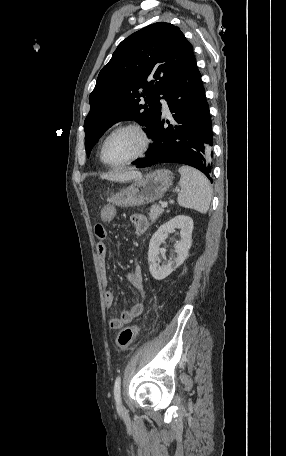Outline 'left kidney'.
Wrapping results in <instances>:
<instances>
[{"label":"left kidney","instance_id":"obj_1","mask_svg":"<svg viewBox=\"0 0 286 456\" xmlns=\"http://www.w3.org/2000/svg\"><path fill=\"white\" fill-rule=\"evenodd\" d=\"M175 229H180L181 233V240L174 245L177 257L160 266L159 246L168 237V234ZM192 231L193 220L188 216L178 215L161 225L155 232L150 239L148 251L149 271L154 279L166 278L185 261L192 244Z\"/></svg>","mask_w":286,"mask_h":456}]
</instances>
